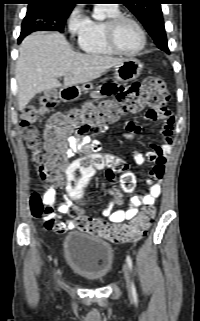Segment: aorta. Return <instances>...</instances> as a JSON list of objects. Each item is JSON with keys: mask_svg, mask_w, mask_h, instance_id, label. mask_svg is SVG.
Listing matches in <instances>:
<instances>
[{"mask_svg": "<svg viewBox=\"0 0 200 321\" xmlns=\"http://www.w3.org/2000/svg\"><path fill=\"white\" fill-rule=\"evenodd\" d=\"M94 18H98V16H97V15H94Z\"/></svg>", "mask_w": 200, "mask_h": 321, "instance_id": "aorta-1", "label": "aorta"}]
</instances>
